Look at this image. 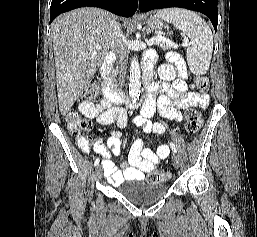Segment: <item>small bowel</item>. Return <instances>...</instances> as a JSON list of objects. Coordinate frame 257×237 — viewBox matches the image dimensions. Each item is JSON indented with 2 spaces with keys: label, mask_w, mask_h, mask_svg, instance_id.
Segmentation results:
<instances>
[{
  "label": "small bowel",
  "mask_w": 257,
  "mask_h": 237,
  "mask_svg": "<svg viewBox=\"0 0 257 237\" xmlns=\"http://www.w3.org/2000/svg\"><path fill=\"white\" fill-rule=\"evenodd\" d=\"M171 61L176 58L171 56ZM145 66L152 73V65L147 60ZM180 77L171 84L166 82H154L149 86V95L146 98L141 115L134 119L137 125L143 126L148 133L166 134L164 124L152 122L150 118L156 110L170 120L181 121L183 119L182 110L189 107L205 108L208 105L209 98L205 94L189 92L185 81L186 73L179 68ZM161 94L156 98L155 94ZM79 111L87 118L95 119L100 125H110L117 123L119 127H124L128 115L124 108L116 107L106 98L97 103L82 101L79 104ZM77 145L83 152H89L91 149L102 154V167L105 177L113 185H119L125 180H142L144 174L153 171L159 167L169 155L167 145H160L156 152L146 148L141 139H136L129 151L127 161L117 167L111 160L112 154L120 152V138L118 132H112L108 139L109 150L102 144L100 138L90 136H80L77 139Z\"/></svg>",
  "instance_id": "obj_1"
}]
</instances>
